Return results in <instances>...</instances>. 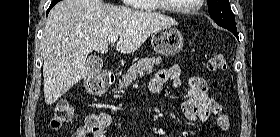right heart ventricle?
<instances>
[{
	"instance_id": "obj_1",
	"label": "right heart ventricle",
	"mask_w": 280,
	"mask_h": 137,
	"mask_svg": "<svg viewBox=\"0 0 280 137\" xmlns=\"http://www.w3.org/2000/svg\"><path fill=\"white\" fill-rule=\"evenodd\" d=\"M143 1L154 2V0H143ZM148 11H162V9L160 7H153V8L148 9Z\"/></svg>"
}]
</instances>
